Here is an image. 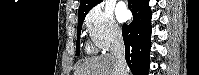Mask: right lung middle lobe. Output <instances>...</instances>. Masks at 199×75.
<instances>
[{
    "mask_svg": "<svg viewBox=\"0 0 199 75\" xmlns=\"http://www.w3.org/2000/svg\"><path fill=\"white\" fill-rule=\"evenodd\" d=\"M86 15L78 17V29H77V44H76V55L80 54V43H79V38H80V33L82 29V24L85 19Z\"/></svg>",
    "mask_w": 199,
    "mask_h": 75,
    "instance_id": "dd1d6c3e",
    "label": "right lung middle lobe"
}]
</instances>
